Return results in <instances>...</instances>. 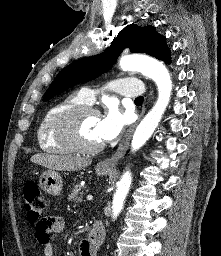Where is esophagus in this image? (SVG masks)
I'll list each match as a JSON object with an SVG mask.
<instances>
[{"mask_svg": "<svg viewBox=\"0 0 221 256\" xmlns=\"http://www.w3.org/2000/svg\"><path fill=\"white\" fill-rule=\"evenodd\" d=\"M145 113V107L142 108V112L140 114V118L139 120L141 119V117L144 115ZM138 120V121H139ZM138 124L135 123L134 125H132L128 131L125 133L123 139L121 140L119 146H118V149L116 150V152L110 157V158H107L106 160L104 161H101L99 163V165L101 167H105V168H115L117 162L122 158V156L124 155L127 147H128V144H129V141H130V138L132 136V133L136 127V125Z\"/></svg>", "mask_w": 221, "mask_h": 256, "instance_id": "esophagus-1", "label": "esophagus"}]
</instances>
